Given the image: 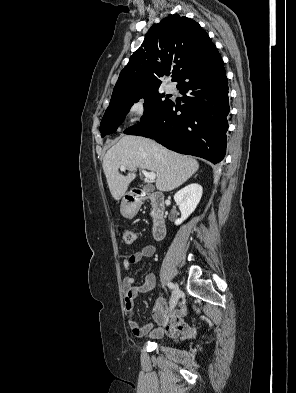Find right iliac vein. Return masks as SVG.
I'll return each mask as SVG.
<instances>
[{
	"instance_id": "1",
	"label": "right iliac vein",
	"mask_w": 296,
	"mask_h": 393,
	"mask_svg": "<svg viewBox=\"0 0 296 393\" xmlns=\"http://www.w3.org/2000/svg\"><path fill=\"white\" fill-rule=\"evenodd\" d=\"M179 294H180V290H179L178 286L176 285L175 290L173 291L171 303H170V307L172 309L176 306V304L178 302Z\"/></svg>"
}]
</instances>
